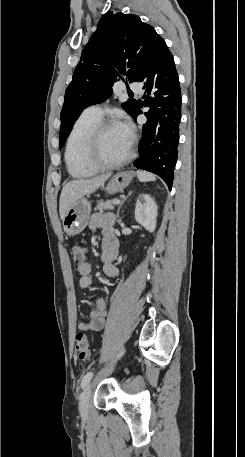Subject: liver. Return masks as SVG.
<instances>
[{
	"mask_svg": "<svg viewBox=\"0 0 245 457\" xmlns=\"http://www.w3.org/2000/svg\"><path fill=\"white\" fill-rule=\"evenodd\" d=\"M112 172L108 174H100L94 178H87V180H69L62 188L59 204L60 218L63 220L67 210L74 204L75 200L82 198L84 194L95 192L105 180L111 176Z\"/></svg>",
	"mask_w": 245,
	"mask_h": 457,
	"instance_id": "1",
	"label": "liver"
}]
</instances>
